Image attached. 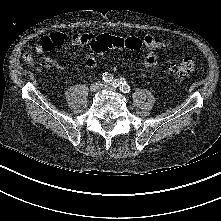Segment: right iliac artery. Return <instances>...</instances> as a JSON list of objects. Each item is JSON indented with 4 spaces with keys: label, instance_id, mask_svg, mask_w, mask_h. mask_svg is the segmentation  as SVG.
I'll return each mask as SVG.
<instances>
[{
    "label": "right iliac artery",
    "instance_id": "obj_1",
    "mask_svg": "<svg viewBox=\"0 0 221 221\" xmlns=\"http://www.w3.org/2000/svg\"><path fill=\"white\" fill-rule=\"evenodd\" d=\"M102 80H103L104 82L109 83V84H113V83L115 82V79H114L113 75H112V74H109V73H104V74L102 75Z\"/></svg>",
    "mask_w": 221,
    "mask_h": 221
}]
</instances>
